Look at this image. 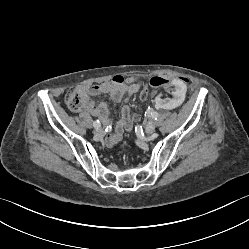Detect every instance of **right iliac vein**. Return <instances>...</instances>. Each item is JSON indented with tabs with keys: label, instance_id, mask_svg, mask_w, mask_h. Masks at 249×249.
Instances as JSON below:
<instances>
[{
	"label": "right iliac vein",
	"instance_id": "obj_1",
	"mask_svg": "<svg viewBox=\"0 0 249 249\" xmlns=\"http://www.w3.org/2000/svg\"><path fill=\"white\" fill-rule=\"evenodd\" d=\"M104 130L102 129V128H96L95 130H94V134H95V136L96 137H98V138H100V137H102L103 135H104Z\"/></svg>",
	"mask_w": 249,
	"mask_h": 249
}]
</instances>
